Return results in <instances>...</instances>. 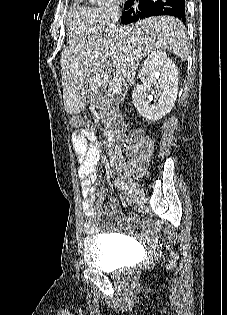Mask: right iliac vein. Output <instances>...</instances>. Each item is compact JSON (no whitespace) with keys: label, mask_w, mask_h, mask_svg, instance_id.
I'll return each mask as SVG.
<instances>
[{"label":"right iliac vein","mask_w":227,"mask_h":315,"mask_svg":"<svg viewBox=\"0 0 227 315\" xmlns=\"http://www.w3.org/2000/svg\"><path fill=\"white\" fill-rule=\"evenodd\" d=\"M121 177L126 182V184L132 187L135 198L137 200H142L144 198V192L141 186L130 177L128 172H122Z\"/></svg>","instance_id":"1"}]
</instances>
